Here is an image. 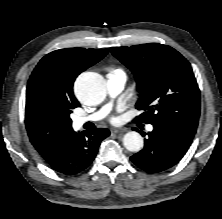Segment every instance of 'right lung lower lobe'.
<instances>
[{"label":"right lung lower lobe","instance_id":"98d812e1","mask_svg":"<svg viewBox=\"0 0 222 219\" xmlns=\"http://www.w3.org/2000/svg\"><path fill=\"white\" fill-rule=\"evenodd\" d=\"M109 135L110 132L106 128L74 132L65 142L57 157L49 162L51 168L67 175L81 172L92 163L101 141Z\"/></svg>","mask_w":222,"mask_h":219}]
</instances>
